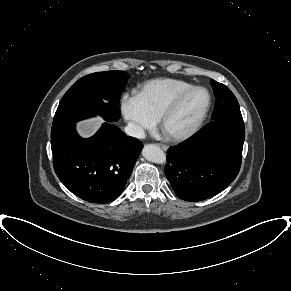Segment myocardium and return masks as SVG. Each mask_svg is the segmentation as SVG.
Wrapping results in <instances>:
<instances>
[{"mask_svg": "<svg viewBox=\"0 0 291 291\" xmlns=\"http://www.w3.org/2000/svg\"><path fill=\"white\" fill-rule=\"evenodd\" d=\"M196 90H203L207 94V103L197 120L194 122V124L188 128L186 131L180 132V133H169L166 131V123L170 116L177 110V108L180 106V104L183 102V100L192 92ZM212 104V96L210 91L203 86H191L182 92L178 93L168 104L167 106L163 109L161 114L158 117V123H159V128L162 134L171 141H183L191 136H193L203 125L209 111L211 108Z\"/></svg>", "mask_w": 291, "mask_h": 291, "instance_id": "obj_1", "label": "myocardium"}]
</instances>
